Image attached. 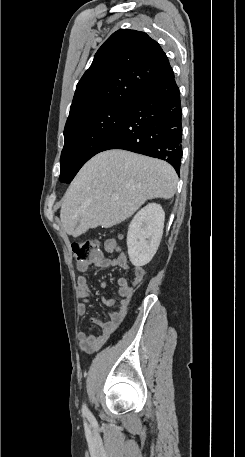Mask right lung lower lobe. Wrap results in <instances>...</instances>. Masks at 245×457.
<instances>
[{
	"instance_id": "right-lung-lower-lobe-1",
	"label": "right lung lower lobe",
	"mask_w": 245,
	"mask_h": 457,
	"mask_svg": "<svg viewBox=\"0 0 245 457\" xmlns=\"http://www.w3.org/2000/svg\"><path fill=\"white\" fill-rule=\"evenodd\" d=\"M180 92L171 77L156 82L132 102L121 124L102 147L124 149L170 163L179 174L182 158Z\"/></svg>"
}]
</instances>
